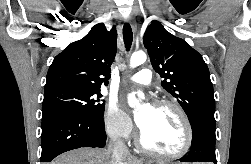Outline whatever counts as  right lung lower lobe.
Returning <instances> with one entry per match:
<instances>
[{"label": "right lung lower lobe", "instance_id": "1", "mask_svg": "<svg viewBox=\"0 0 251 164\" xmlns=\"http://www.w3.org/2000/svg\"><path fill=\"white\" fill-rule=\"evenodd\" d=\"M106 140L103 116L49 112L42 118L41 162L80 147H104Z\"/></svg>", "mask_w": 251, "mask_h": 164}]
</instances>
